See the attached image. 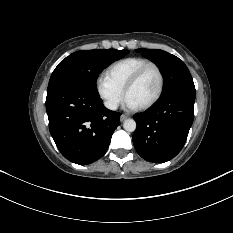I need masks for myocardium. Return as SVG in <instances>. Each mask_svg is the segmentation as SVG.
I'll return each mask as SVG.
<instances>
[{"label": "myocardium", "mask_w": 233, "mask_h": 233, "mask_svg": "<svg viewBox=\"0 0 233 233\" xmlns=\"http://www.w3.org/2000/svg\"><path fill=\"white\" fill-rule=\"evenodd\" d=\"M149 68H154L156 70L158 77H159V87H158V90H157L155 96L150 101H148L147 103L138 107L139 109H142V110L148 109L151 106H153L160 99V97L163 93L164 86H165V78H164V74H163L161 67L154 62H147L146 64L142 65L129 78V80L127 81V83L124 87V90H123L125 97H127L129 90L139 81V79L143 76V74Z\"/></svg>", "instance_id": "1"}]
</instances>
